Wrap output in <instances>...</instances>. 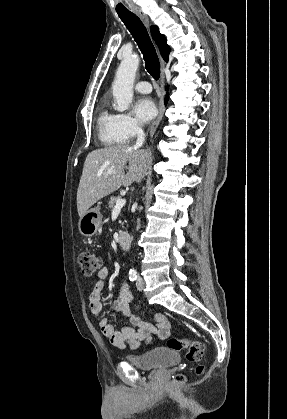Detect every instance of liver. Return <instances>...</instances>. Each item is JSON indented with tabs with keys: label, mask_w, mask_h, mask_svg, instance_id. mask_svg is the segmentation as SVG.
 <instances>
[{
	"label": "liver",
	"mask_w": 287,
	"mask_h": 419,
	"mask_svg": "<svg viewBox=\"0 0 287 419\" xmlns=\"http://www.w3.org/2000/svg\"><path fill=\"white\" fill-rule=\"evenodd\" d=\"M127 162L129 166L125 174ZM150 162V154L135 146H108L90 152L85 159L77 190V210L80 218L93 204L121 186L127 187L133 182L140 183Z\"/></svg>",
	"instance_id": "obj_1"
}]
</instances>
